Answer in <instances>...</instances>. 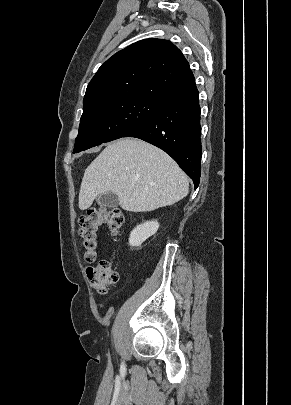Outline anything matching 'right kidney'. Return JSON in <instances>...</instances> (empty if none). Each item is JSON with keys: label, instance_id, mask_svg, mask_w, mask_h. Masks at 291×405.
Here are the masks:
<instances>
[{"label": "right kidney", "instance_id": "right-kidney-1", "mask_svg": "<svg viewBox=\"0 0 291 405\" xmlns=\"http://www.w3.org/2000/svg\"><path fill=\"white\" fill-rule=\"evenodd\" d=\"M159 228L157 220L147 221L134 228L129 237L130 246H140L146 239L154 235Z\"/></svg>", "mask_w": 291, "mask_h": 405}]
</instances>
